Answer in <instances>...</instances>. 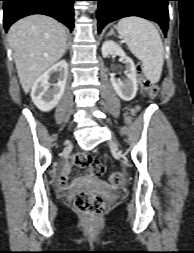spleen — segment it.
<instances>
[{
	"instance_id": "spleen-1",
	"label": "spleen",
	"mask_w": 194,
	"mask_h": 253,
	"mask_svg": "<svg viewBox=\"0 0 194 253\" xmlns=\"http://www.w3.org/2000/svg\"><path fill=\"white\" fill-rule=\"evenodd\" d=\"M116 28L130 51L142 62L146 78L157 83L162 73L164 49L156 27L146 19L126 17Z\"/></svg>"
}]
</instances>
